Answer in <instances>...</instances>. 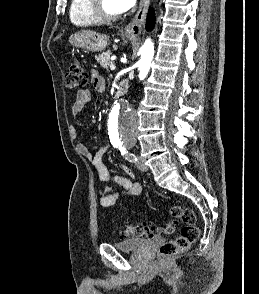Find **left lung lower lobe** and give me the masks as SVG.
Returning <instances> with one entry per match:
<instances>
[{"instance_id":"0a47b994","label":"left lung lower lobe","mask_w":259,"mask_h":294,"mask_svg":"<svg viewBox=\"0 0 259 294\" xmlns=\"http://www.w3.org/2000/svg\"><path fill=\"white\" fill-rule=\"evenodd\" d=\"M154 13L153 10H150L147 16L146 30H151L154 26Z\"/></svg>"}]
</instances>
